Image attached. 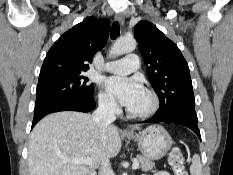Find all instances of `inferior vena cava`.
<instances>
[{"label":"inferior vena cava","instance_id":"602c4592","mask_svg":"<svg viewBox=\"0 0 233 175\" xmlns=\"http://www.w3.org/2000/svg\"><path fill=\"white\" fill-rule=\"evenodd\" d=\"M92 118L99 125L101 133L105 135L107 127L116 119L115 101L113 99L100 100ZM99 175H114L109 159H105L101 163Z\"/></svg>","mask_w":233,"mask_h":175}]
</instances>
